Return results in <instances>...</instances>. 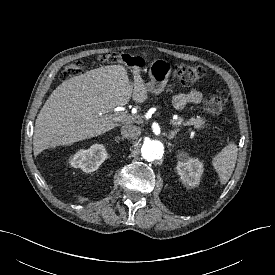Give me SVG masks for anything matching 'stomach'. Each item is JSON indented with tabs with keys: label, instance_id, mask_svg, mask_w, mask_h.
<instances>
[{
	"label": "stomach",
	"instance_id": "0dacf381",
	"mask_svg": "<svg viewBox=\"0 0 275 275\" xmlns=\"http://www.w3.org/2000/svg\"><path fill=\"white\" fill-rule=\"evenodd\" d=\"M171 72V66L163 59H155L150 64V81L146 84L148 92L160 94L164 91Z\"/></svg>",
	"mask_w": 275,
	"mask_h": 275
}]
</instances>
